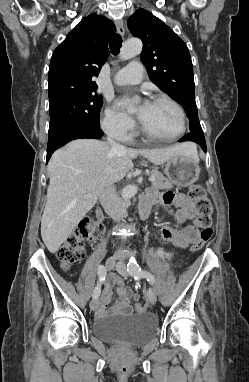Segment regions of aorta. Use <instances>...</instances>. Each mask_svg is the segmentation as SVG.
Masks as SVG:
<instances>
[{"mask_svg":"<svg viewBox=\"0 0 249 382\" xmlns=\"http://www.w3.org/2000/svg\"><path fill=\"white\" fill-rule=\"evenodd\" d=\"M142 50V42L138 38L127 40L119 53L121 60H128L138 55ZM137 193V187L134 185L127 186L122 192L123 199H129Z\"/></svg>","mask_w":249,"mask_h":382,"instance_id":"obj_1","label":"aorta"}]
</instances>
